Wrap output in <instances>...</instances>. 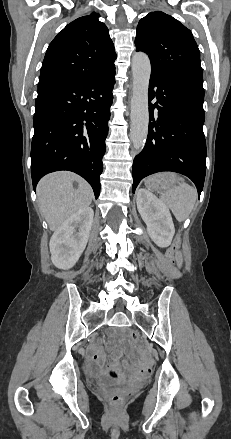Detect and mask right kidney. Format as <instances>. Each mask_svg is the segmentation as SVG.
<instances>
[{
	"mask_svg": "<svg viewBox=\"0 0 231 439\" xmlns=\"http://www.w3.org/2000/svg\"><path fill=\"white\" fill-rule=\"evenodd\" d=\"M93 216L92 208H83L54 232L49 246L51 260L57 268L69 269L78 261L87 245ZM76 228H79V232H76Z\"/></svg>",
	"mask_w": 231,
	"mask_h": 439,
	"instance_id": "ca27d5eb",
	"label": "right kidney"
}]
</instances>
